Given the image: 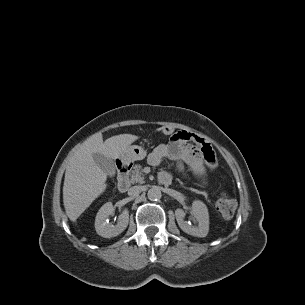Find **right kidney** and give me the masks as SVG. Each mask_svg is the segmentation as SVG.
I'll list each match as a JSON object with an SVG mask.
<instances>
[{
	"mask_svg": "<svg viewBox=\"0 0 305 305\" xmlns=\"http://www.w3.org/2000/svg\"><path fill=\"white\" fill-rule=\"evenodd\" d=\"M114 212V207L111 202L105 203L98 211L95 219V229L98 235L104 238H111L121 234L128 226L129 212L125 209L118 219L116 225H112L108 217Z\"/></svg>",
	"mask_w": 305,
	"mask_h": 305,
	"instance_id": "right-kidney-1",
	"label": "right kidney"
}]
</instances>
